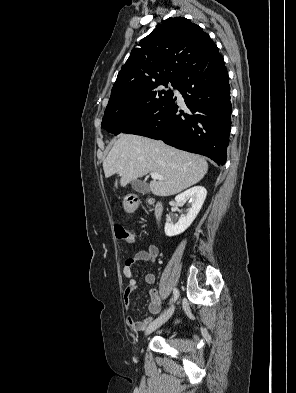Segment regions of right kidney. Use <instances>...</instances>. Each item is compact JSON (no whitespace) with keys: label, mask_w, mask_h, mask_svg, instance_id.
I'll return each instance as SVG.
<instances>
[{"label":"right kidney","mask_w":296,"mask_h":393,"mask_svg":"<svg viewBox=\"0 0 296 393\" xmlns=\"http://www.w3.org/2000/svg\"><path fill=\"white\" fill-rule=\"evenodd\" d=\"M207 191L202 186H195L187 191L177 195L175 201L181 203L186 199H190L192 202L191 208H189L186 216H181L177 223L166 222L164 231L166 236H176L183 233L194 221L200 212L202 205L205 201Z\"/></svg>","instance_id":"right-kidney-1"}]
</instances>
